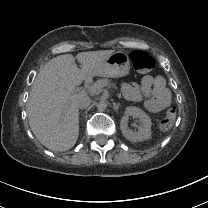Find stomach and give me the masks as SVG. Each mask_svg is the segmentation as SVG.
Listing matches in <instances>:
<instances>
[{
	"instance_id": "0dacf381",
	"label": "stomach",
	"mask_w": 208,
	"mask_h": 208,
	"mask_svg": "<svg viewBox=\"0 0 208 208\" xmlns=\"http://www.w3.org/2000/svg\"><path fill=\"white\" fill-rule=\"evenodd\" d=\"M131 73L130 59L126 52L116 51L99 63L94 74L102 77H128Z\"/></svg>"
}]
</instances>
